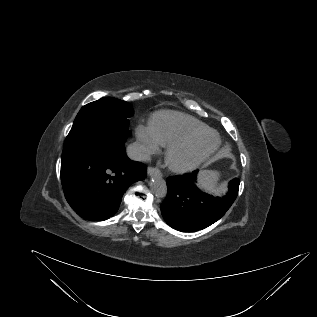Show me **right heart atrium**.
I'll list each match as a JSON object with an SVG mask.
<instances>
[{"mask_svg": "<svg viewBox=\"0 0 317 317\" xmlns=\"http://www.w3.org/2000/svg\"><path fill=\"white\" fill-rule=\"evenodd\" d=\"M139 153L142 157L154 154L160 149V144L155 138L149 125L138 124L135 129Z\"/></svg>", "mask_w": 317, "mask_h": 317, "instance_id": "obj_1", "label": "right heart atrium"}]
</instances>
